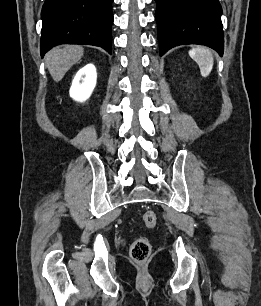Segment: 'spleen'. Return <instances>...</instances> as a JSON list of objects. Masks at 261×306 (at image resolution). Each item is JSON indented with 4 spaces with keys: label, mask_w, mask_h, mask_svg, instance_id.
I'll use <instances>...</instances> for the list:
<instances>
[{
    "label": "spleen",
    "mask_w": 261,
    "mask_h": 306,
    "mask_svg": "<svg viewBox=\"0 0 261 306\" xmlns=\"http://www.w3.org/2000/svg\"><path fill=\"white\" fill-rule=\"evenodd\" d=\"M189 55L198 64L202 76H209L214 64V58L211 51L205 48H194L189 51Z\"/></svg>",
    "instance_id": "1"
}]
</instances>
